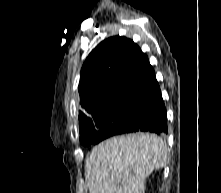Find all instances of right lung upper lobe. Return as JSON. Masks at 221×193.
I'll list each match as a JSON object with an SVG mask.
<instances>
[{
	"mask_svg": "<svg viewBox=\"0 0 221 193\" xmlns=\"http://www.w3.org/2000/svg\"><path fill=\"white\" fill-rule=\"evenodd\" d=\"M158 88L153 67L141 49L125 37L108 38L82 66L78 90L85 111L79 113V120L118 100H150Z\"/></svg>",
	"mask_w": 221,
	"mask_h": 193,
	"instance_id": "obj_1",
	"label": "right lung upper lobe"
}]
</instances>
